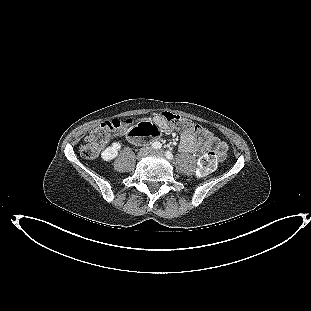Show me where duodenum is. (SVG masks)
I'll list each match as a JSON object with an SVG mask.
<instances>
[{
  "mask_svg": "<svg viewBox=\"0 0 311 311\" xmlns=\"http://www.w3.org/2000/svg\"><path fill=\"white\" fill-rule=\"evenodd\" d=\"M129 140H130L131 142H134V143H139V142H140V137L137 136V135H130V136H129Z\"/></svg>",
  "mask_w": 311,
  "mask_h": 311,
  "instance_id": "1",
  "label": "duodenum"
}]
</instances>
